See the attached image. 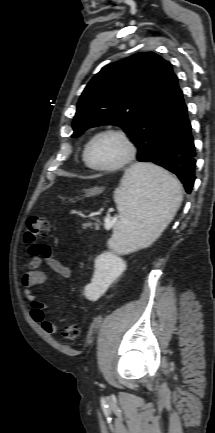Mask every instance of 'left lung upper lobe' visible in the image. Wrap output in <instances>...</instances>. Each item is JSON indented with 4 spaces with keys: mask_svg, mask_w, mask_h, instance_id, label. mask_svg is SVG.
Listing matches in <instances>:
<instances>
[{
    "mask_svg": "<svg viewBox=\"0 0 215 433\" xmlns=\"http://www.w3.org/2000/svg\"><path fill=\"white\" fill-rule=\"evenodd\" d=\"M180 93L172 65L154 52L109 64L83 91L72 137L91 127L117 125L137 146L138 161L152 162Z\"/></svg>",
    "mask_w": 215,
    "mask_h": 433,
    "instance_id": "left-lung-upper-lobe-1",
    "label": "left lung upper lobe"
}]
</instances>
